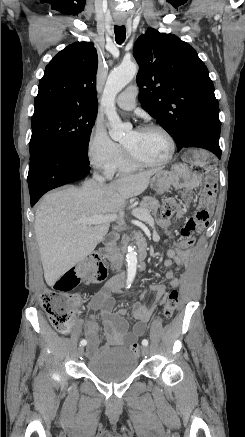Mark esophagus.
<instances>
[{"label": "esophagus", "mask_w": 245, "mask_h": 437, "mask_svg": "<svg viewBox=\"0 0 245 437\" xmlns=\"http://www.w3.org/2000/svg\"><path fill=\"white\" fill-rule=\"evenodd\" d=\"M118 24H119V25H122L123 23H122V22H118Z\"/></svg>", "instance_id": "esophagus-1"}]
</instances>
